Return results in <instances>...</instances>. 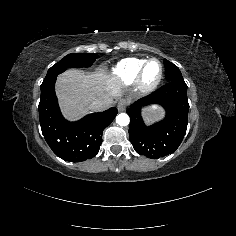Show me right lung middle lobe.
Instances as JSON below:
<instances>
[{
	"instance_id": "1",
	"label": "right lung middle lobe",
	"mask_w": 236,
	"mask_h": 236,
	"mask_svg": "<svg viewBox=\"0 0 236 236\" xmlns=\"http://www.w3.org/2000/svg\"><path fill=\"white\" fill-rule=\"evenodd\" d=\"M98 58L97 54L90 53H72L65 56L57 64L52 66L47 75L53 73H62L70 67H90L93 62Z\"/></svg>"
}]
</instances>
